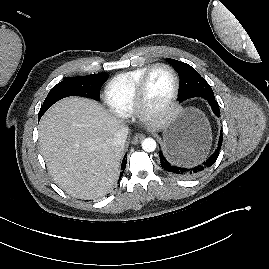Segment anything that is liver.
Masks as SVG:
<instances>
[{
  "instance_id": "obj_1",
  "label": "liver",
  "mask_w": 269,
  "mask_h": 269,
  "mask_svg": "<svg viewBox=\"0 0 269 269\" xmlns=\"http://www.w3.org/2000/svg\"><path fill=\"white\" fill-rule=\"evenodd\" d=\"M169 118L154 130L164 129ZM120 119L94 100L69 97L53 105L39 123V143L55 183L69 195L94 199L115 185L124 147L112 144Z\"/></svg>"
}]
</instances>
